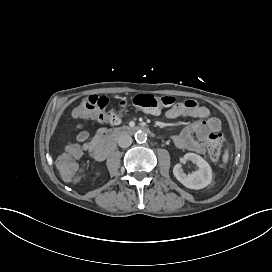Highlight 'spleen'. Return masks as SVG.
Segmentation results:
<instances>
[{"instance_id":"1","label":"spleen","mask_w":272,"mask_h":272,"mask_svg":"<svg viewBox=\"0 0 272 272\" xmlns=\"http://www.w3.org/2000/svg\"><path fill=\"white\" fill-rule=\"evenodd\" d=\"M228 158H229V151H228V149H226V150L224 151V154H223V162H224V163H227Z\"/></svg>"}]
</instances>
